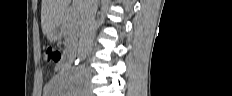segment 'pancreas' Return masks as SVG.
Segmentation results:
<instances>
[{
  "label": "pancreas",
  "mask_w": 232,
  "mask_h": 96,
  "mask_svg": "<svg viewBox=\"0 0 232 96\" xmlns=\"http://www.w3.org/2000/svg\"><path fill=\"white\" fill-rule=\"evenodd\" d=\"M79 22L77 17L67 16L62 22V33L65 39L64 46L66 51H72L77 47L79 35Z\"/></svg>",
  "instance_id": "obj_1"
}]
</instances>
